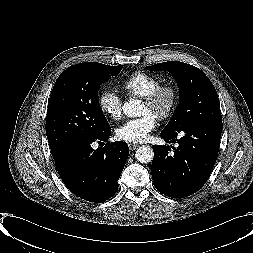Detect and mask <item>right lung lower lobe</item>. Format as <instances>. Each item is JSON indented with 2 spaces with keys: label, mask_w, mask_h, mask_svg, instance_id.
Listing matches in <instances>:
<instances>
[{
  "label": "right lung lower lobe",
  "mask_w": 253,
  "mask_h": 253,
  "mask_svg": "<svg viewBox=\"0 0 253 253\" xmlns=\"http://www.w3.org/2000/svg\"><path fill=\"white\" fill-rule=\"evenodd\" d=\"M110 126L96 136H82L53 156L59 175L76 196L101 203L118 190V179L127 161V143L116 141L94 150L93 142H107ZM103 143V142H102Z\"/></svg>",
  "instance_id": "right-lung-lower-lobe-1"
}]
</instances>
